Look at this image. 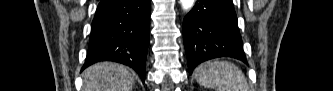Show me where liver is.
Here are the masks:
<instances>
[{"label":"liver","mask_w":333,"mask_h":91,"mask_svg":"<svg viewBox=\"0 0 333 91\" xmlns=\"http://www.w3.org/2000/svg\"><path fill=\"white\" fill-rule=\"evenodd\" d=\"M83 91H132L135 78L129 68L112 62H100L82 74Z\"/></svg>","instance_id":"1"}]
</instances>
